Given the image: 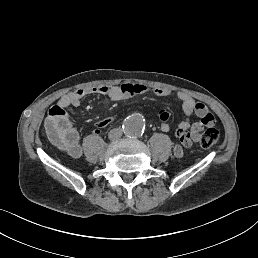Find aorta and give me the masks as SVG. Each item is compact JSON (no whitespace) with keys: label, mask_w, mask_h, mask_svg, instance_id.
I'll return each mask as SVG.
<instances>
[{"label":"aorta","mask_w":258,"mask_h":258,"mask_svg":"<svg viewBox=\"0 0 258 258\" xmlns=\"http://www.w3.org/2000/svg\"><path fill=\"white\" fill-rule=\"evenodd\" d=\"M145 119L143 115L134 113L127 117L123 124V131L127 136L138 137L144 132Z\"/></svg>","instance_id":"obj_1"}]
</instances>
